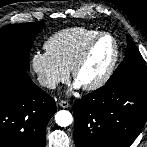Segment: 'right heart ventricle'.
I'll return each mask as SVG.
<instances>
[{
	"label": "right heart ventricle",
	"instance_id": "e07e8e85",
	"mask_svg": "<svg viewBox=\"0 0 147 147\" xmlns=\"http://www.w3.org/2000/svg\"><path fill=\"white\" fill-rule=\"evenodd\" d=\"M98 33L87 27L63 29L49 37L44 48L57 62L71 70L84 46Z\"/></svg>",
	"mask_w": 147,
	"mask_h": 147
}]
</instances>
